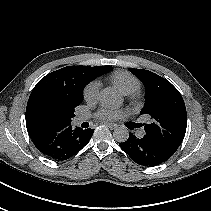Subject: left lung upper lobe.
Masks as SVG:
<instances>
[{
  "mask_svg": "<svg viewBox=\"0 0 211 211\" xmlns=\"http://www.w3.org/2000/svg\"><path fill=\"white\" fill-rule=\"evenodd\" d=\"M144 84L146 100L140 114L151 116V124H146V136L175 153L182 143L186 127L187 113L180 92L166 79L143 69L129 68Z\"/></svg>",
  "mask_w": 211,
  "mask_h": 211,
  "instance_id": "5c2ea615",
  "label": "left lung upper lobe"
}]
</instances>
